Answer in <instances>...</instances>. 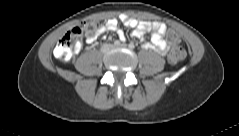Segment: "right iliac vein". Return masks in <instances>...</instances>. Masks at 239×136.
I'll use <instances>...</instances> for the list:
<instances>
[{
    "label": "right iliac vein",
    "instance_id": "obj_1",
    "mask_svg": "<svg viewBox=\"0 0 239 136\" xmlns=\"http://www.w3.org/2000/svg\"><path fill=\"white\" fill-rule=\"evenodd\" d=\"M110 46L108 45H104L102 48H101V51L102 52H107L109 50Z\"/></svg>",
    "mask_w": 239,
    "mask_h": 136
}]
</instances>
